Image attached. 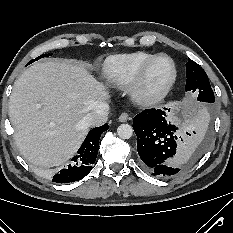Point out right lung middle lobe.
I'll use <instances>...</instances> for the list:
<instances>
[{"instance_id": "1", "label": "right lung middle lobe", "mask_w": 233, "mask_h": 233, "mask_svg": "<svg viewBox=\"0 0 233 233\" xmlns=\"http://www.w3.org/2000/svg\"><path fill=\"white\" fill-rule=\"evenodd\" d=\"M47 56H51V54H43V55H40V56L37 57L36 59L31 60L28 64H30V63H32V62H34V61H36V60H38V59H40V58L47 57ZM28 64H27V65H28Z\"/></svg>"}]
</instances>
